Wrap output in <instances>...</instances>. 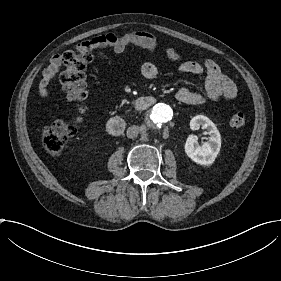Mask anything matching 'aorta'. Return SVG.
Returning a JSON list of instances; mask_svg holds the SVG:
<instances>
[{
  "mask_svg": "<svg viewBox=\"0 0 281 281\" xmlns=\"http://www.w3.org/2000/svg\"><path fill=\"white\" fill-rule=\"evenodd\" d=\"M151 125L155 128L169 122L173 117L172 108L164 103H158L151 109Z\"/></svg>",
  "mask_w": 281,
  "mask_h": 281,
  "instance_id": "762f6f07",
  "label": "aorta"
}]
</instances>
